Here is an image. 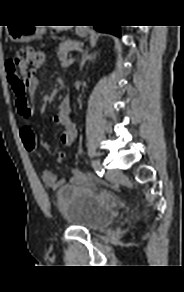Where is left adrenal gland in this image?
<instances>
[{"mask_svg":"<svg viewBox=\"0 0 184 292\" xmlns=\"http://www.w3.org/2000/svg\"><path fill=\"white\" fill-rule=\"evenodd\" d=\"M96 57V53L88 54V52H85L82 54V58L79 64V70L81 71L86 63L87 60L94 59Z\"/></svg>","mask_w":184,"mask_h":292,"instance_id":"obj_1","label":"left adrenal gland"}]
</instances>
